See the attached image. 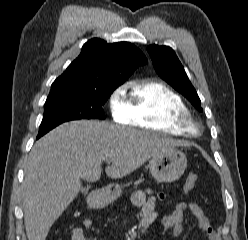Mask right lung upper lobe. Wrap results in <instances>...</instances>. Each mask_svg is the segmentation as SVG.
I'll return each mask as SVG.
<instances>
[{
  "label": "right lung upper lobe",
  "mask_w": 248,
  "mask_h": 240,
  "mask_svg": "<svg viewBox=\"0 0 248 240\" xmlns=\"http://www.w3.org/2000/svg\"><path fill=\"white\" fill-rule=\"evenodd\" d=\"M144 54L129 42L107 43L93 38L87 41L80 55L51 86L63 88H117L142 64Z\"/></svg>",
  "instance_id": "1"
}]
</instances>
